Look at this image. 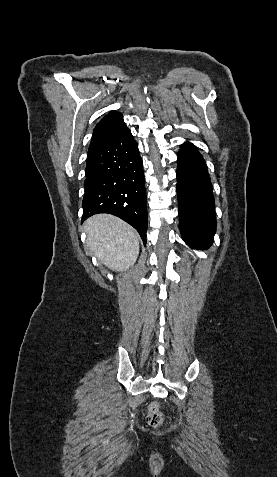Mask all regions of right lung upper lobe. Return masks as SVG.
<instances>
[{
    "mask_svg": "<svg viewBox=\"0 0 277 477\" xmlns=\"http://www.w3.org/2000/svg\"><path fill=\"white\" fill-rule=\"evenodd\" d=\"M127 126L119 112L112 111L96 125L89 146V150L97 149L117 137Z\"/></svg>",
    "mask_w": 277,
    "mask_h": 477,
    "instance_id": "1",
    "label": "right lung upper lobe"
}]
</instances>
